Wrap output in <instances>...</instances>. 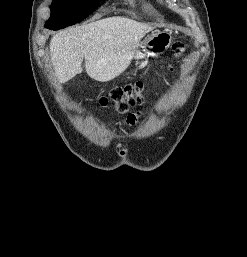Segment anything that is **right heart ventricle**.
<instances>
[{"instance_id":"e07e8e85","label":"right heart ventricle","mask_w":247,"mask_h":257,"mask_svg":"<svg viewBox=\"0 0 247 257\" xmlns=\"http://www.w3.org/2000/svg\"><path fill=\"white\" fill-rule=\"evenodd\" d=\"M126 1L133 2L134 0H126Z\"/></svg>"}]
</instances>
